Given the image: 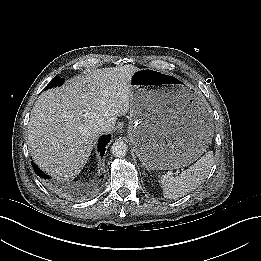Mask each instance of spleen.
I'll return each mask as SVG.
<instances>
[{
    "instance_id": "1",
    "label": "spleen",
    "mask_w": 261,
    "mask_h": 261,
    "mask_svg": "<svg viewBox=\"0 0 261 261\" xmlns=\"http://www.w3.org/2000/svg\"><path fill=\"white\" fill-rule=\"evenodd\" d=\"M213 164V152L209 151L179 176L162 175L160 184L164 197L177 199L195 190L208 175Z\"/></svg>"
}]
</instances>
